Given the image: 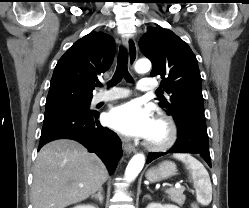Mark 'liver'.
Segmentation results:
<instances>
[{"label":"liver","mask_w":249,"mask_h":208,"mask_svg":"<svg viewBox=\"0 0 249 208\" xmlns=\"http://www.w3.org/2000/svg\"><path fill=\"white\" fill-rule=\"evenodd\" d=\"M107 178L104 163L83 145L69 139L52 141L42 147L34 165L33 208H65L84 201Z\"/></svg>","instance_id":"1"}]
</instances>
